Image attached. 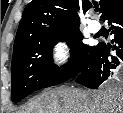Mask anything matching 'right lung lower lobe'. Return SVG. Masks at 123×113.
Returning a JSON list of instances; mask_svg holds the SVG:
<instances>
[{"instance_id":"1","label":"right lung lower lobe","mask_w":123,"mask_h":113,"mask_svg":"<svg viewBox=\"0 0 123 113\" xmlns=\"http://www.w3.org/2000/svg\"><path fill=\"white\" fill-rule=\"evenodd\" d=\"M101 20H107L111 25L114 45L107 47L99 43L95 46L90 59L77 76L76 82L91 89H98L114 69L123 66V0H116ZM110 47L115 51L113 55L110 54Z\"/></svg>"}]
</instances>
